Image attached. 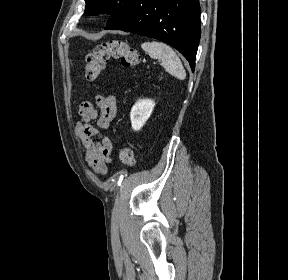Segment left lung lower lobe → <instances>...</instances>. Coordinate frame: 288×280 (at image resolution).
<instances>
[{
  "label": "left lung lower lobe",
  "instance_id": "obj_1",
  "mask_svg": "<svg viewBox=\"0 0 288 280\" xmlns=\"http://www.w3.org/2000/svg\"><path fill=\"white\" fill-rule=\"evenodd\" d=\"M105 29L159 39L177 49L194 71L201 35L199 0H134Z\"/></svg>",
  "mask_w": 288,
  "mask_h": 280
}]
</instances>
